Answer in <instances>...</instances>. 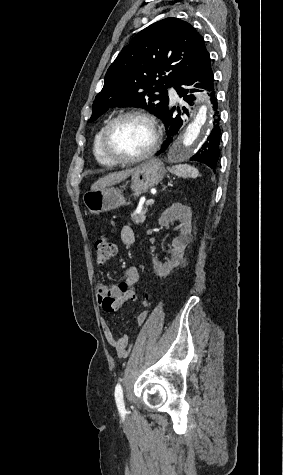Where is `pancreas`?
<instances>
[{"label":"pancreas","mask_w":283,"mask_h":475,"mask_svg":"<svg viewBox=\"0 0 283 475\" xmlns=\"http://www.w3.org/2000/svg\"><path fill=\"white\" fill-rule=\"evenodd\" d=\"M146 212H148V208H142L140 214H131L132 222H135V224H143L146 216Z\"/></svg>","instance_id":"1"}]
</instances>
